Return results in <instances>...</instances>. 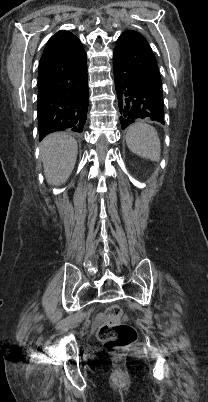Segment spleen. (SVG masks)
Listing matches in <instances>:
<instances>
[{
    "label": "spleen",
    "mask_w": 208,
    "mask_h": 402,
    "mask_svg": "<svg viewBox=\"0 0 208 402\" xmlns=\"http://www.w3.org/2000/svg\"><path fill=\"white\" fill-rule=\"evenodd\" d=\"M126 144L136 156L148 158L152 162H159L161 154V144L157 130L149 124L136 122L127 130Z\"/></svg>",
    "instance_id": "1"
}]
</instances>
